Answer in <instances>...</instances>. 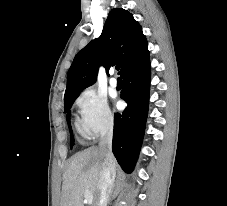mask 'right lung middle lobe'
<instances>
[{
  "label": "right lung middle lobe",
  "mask_w": 227,
  "mask_h": 206,
  "mask_svg": "<svg viewBox=\"0 0 227 206\" xmlns=\"http://www.w3.org/2000/svg\"><path fill=\"white\" fill-rule=\"evenodd\" d=\"M77 97H78V95H76V96H71V97H68V98H65V99H64V112H65V113L68 112L67 118H68L69 130H70V133H71V143H72L71 146H73L74 140H73L72 129H71L70 120H69V114H70L69 108H70L71 104L75 101V99H76Z\"/></svg>",
  "instance_id": "obj_1"
}]
</instances>
